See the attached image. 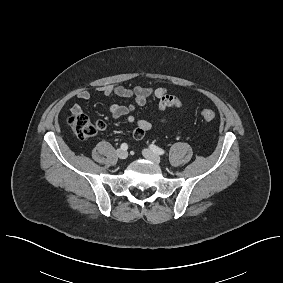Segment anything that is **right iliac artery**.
Returning a JSON list of instances; mask_svg holds the SVG:
<instances>
[{"mask_svg":"<svg viewBox=\"0 0 283 283\" xmlns=\"http://www.w3.org/2000/svg\"><path fill=\"white\" fill-rule=\"evenodd\" d=\"M121 149L122 150H127L128 149V145L126 143L121 144Z\"/></svg>","mask_w":283,"mask_h":283,"instance_id":"obj_1","label":"right iliac artery"}]
</instances>
